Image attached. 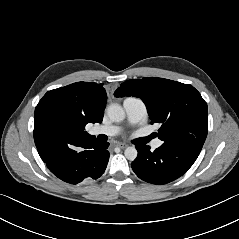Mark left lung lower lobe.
Segmentation results:
<instances>
[{"mask_svg": "<svg viewBox=\"0 0 239 239\" xmlns=\"http://www.w3.org/2000/svg\"><path fill=\"white\" fill-rule=\"evenodd\" d=\"M137 158L132 169L142 180L152 184H166L182 176L198 155L172 144L163 143L153 152L146 145L136 146Z\"/></svg>", "mask_w": 239, "mask_h": 239, "instance_id": "1", "label": "left lung lower lobe"}]
</instances>
